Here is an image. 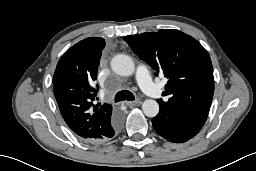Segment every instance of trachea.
<instances>
[{
    "label": "trachea",
    "mask_w": 256,
    "mask_h": 171,
    "mask_svg": "<svg viewBox=\"0 0 256 171\" xmlns=\"http://www.w3.org/2000/svg\"><path fill=\"white\" fill-rule=\"evenodd\" d=\"M135 97L133 95L132 92L128 91V90H121L119 91L116 95H115V102H120V101H132L134 100Z\"/></svg>",
    "instance_id": "trachea-1"
}]
</instances>
